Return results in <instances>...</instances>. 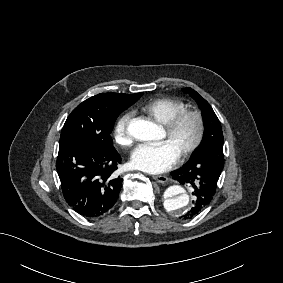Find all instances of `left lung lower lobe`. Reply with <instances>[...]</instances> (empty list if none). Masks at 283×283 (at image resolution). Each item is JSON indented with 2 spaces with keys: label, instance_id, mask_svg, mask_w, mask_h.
<instances>
[{
  "label": "left lung lower lobe",
  "instance_id": "0a47b994",
  "mask_svg": "<svg viewBox=\"0 0 283 283\" xmlns=\"http://www.w3.org/2000/svg\"><path fill=\"white\" fill-rule=\"evenodd\" d=\"M223 168V146L214 145L204 147L181 169L172 173L175 180L190 184L194 190L193 207L184 215V219L198 215L211 202Z\"/></svg>",
  "mask_w": 283,
  "mask_h": 283
}]
</instances>
